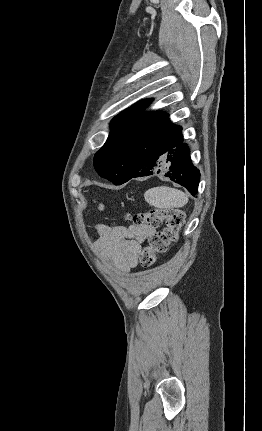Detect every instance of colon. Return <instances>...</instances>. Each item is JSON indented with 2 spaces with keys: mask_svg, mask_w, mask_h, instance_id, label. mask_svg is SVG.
I'll return each instance as SVG.
<instances>
[{
  "mask_svg": "<svg viewBox=\"0 0 262 431\" xmlns=\"http://www.w3.org/2000/svg\"><path fill=\"white\" fill-rule=\"evenodd\" d=\"M100 208L104 204L99 203ZM132 225L158 228L150 236L149 245L139 252V262L144 267H150L156 262L158 254L165 253L170 245L177 240L179 229L183 222V213L178 209L153 208L128 217Z\"/></svg>",
  "mask_w": 262,
  "mask_h": 431,
  "instance_id": "5ec220e1",
  "label": "colon"
}]
</instances>
